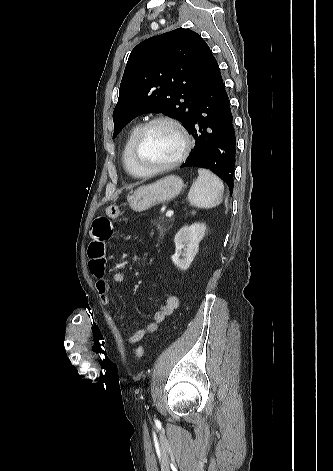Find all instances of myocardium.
<instances>
[{"mask_svg": "<svg viewBox=\"0 0 333 471\" xmlns=\"http://www.w3.org/2000/svg\"><path fill=\"white\" fill-rule=\"evenodd\" d=\"M159 123H164V124H168L170 126H172L176 131L177 133L179 134L180 136V139H181V151L178 155V157L176 159H174L173 161L169 162V163H166V164H160V165H151V164H147L143 161L142 159V149H143V145H144V141H145V138H146V135L149 131V129L156 125V124H159ZM191 145H192V141H191V138L188 134V132L186 131V129L183 127V125L178 122L176 119L172 118V117H169V116H156L150 120H148L147 122H145L144 124L141 125L139 131L137 132L136 136H135V139H134V142H133V146H132V158H133V161H134V164L136 165V167L145 175H150V174H155V173H160V172H164V171H168V170H171V169H174L176 168L177 166H179L180 164H182L190 150H191Z\"/></svg>", "mask_w": 333, "mask_h": 471, "instance_id": "1", "label": "myocardium"}]
</instances>
